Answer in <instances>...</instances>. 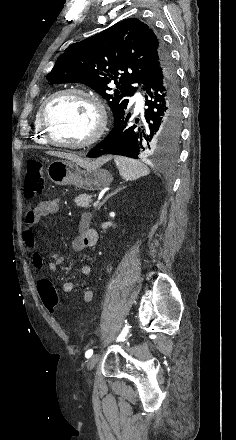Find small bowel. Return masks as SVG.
<instances>
[{
    "label": "small bowel",
    "mask_w": 236,
    "mask_h": 440,
    "mask_svg": "<svg viewBox=\"0 0 236 440\" xmlns=\"http://www.w3.org/2000/svg\"><path fill=\"white\" fill-rule=\"evenodd\" d=\"M59 201L57 199L44 200L39 202L35 207L28 210L25 216V227L23 230V241L25 245L31 249L32 262L35 270L43 273L46 269L50 272L56 269L63 263L64 257L58 253L52 255L51 260L46 264L44 258L37 251L36 229L35 226L42 217L52 215L58 211ZM98 241L97 232L91 228V215L85 213L78 227V234L73 238L71 247L74 251H81L85 248H93ZM93 268L91 265H83L81 267V274L84 277L92 275ZM75 284L71 280H67L62 285V290L65 293H70L74 290ZM82 300L85 303H90L93 300V293L90 290H85L82 293Z\"/></svg>",
    "instance_id": "obj_1"
}]
</instances>
